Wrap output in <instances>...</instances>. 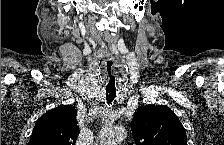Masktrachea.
Segmentation results:
<instances>
[{"instance_id": "1", "label": "trachea", "mask_w": 224, "mask_h": 145, "mask_svg": "<svg viewBox=\"0 0 224 145\" xmlns=\"http://www.w3.org/2000/svg\"><path fill=\"white\" fill-rule=\"evenodd\" d=\"M107 71V85H106V99L111 103L116 97L115 75L113 73L112 63L106 66Z\"/></svg>"}]
</instances>
